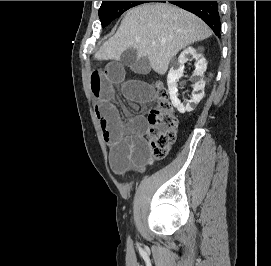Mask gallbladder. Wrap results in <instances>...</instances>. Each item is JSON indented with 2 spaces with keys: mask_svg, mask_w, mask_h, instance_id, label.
Masks as SVG:
<instances>
[{
  "mask_svg": "<svg viewBox=\"0 0 271 266\" xmlns=\"http://www.w3.org/2000/svg\"><path fill=\"white\" fill-rule=\"evenodd\" d=\"M120 62L136 73L146 75L151 71V66L147 57L138 58L134 49H128L121 55Z\"/></svg>",
  "mask_w": 271,
  "mask_h": 266,
  "instance_id": "bac80fb5",
  "label": "gallbladder"
}]
</instances>
